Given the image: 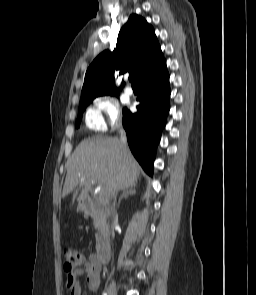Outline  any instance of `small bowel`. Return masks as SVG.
Segmentation results:
<instances>
[{
    "instance_id": "obj_1",
    "label": "small bowel",
    "mask_w": 256,
    "mask_h": 295,
    "mask_svg": "<svg viewBox=\"0 0 256 295\" xmlns=\"http://www.w3.org/2000/svg\"><path fill=\"white\" fill-rule=\"evenodd\" d=\"M102 264L98 262L95 253H91L89 257L84 260L81 267L74 271L67 272L66 285L70 291V295H82V287L79 277L84 273L87 274V286L89 290L96 291L100 286V273Z\"/></svg>"
}]
</instances>
